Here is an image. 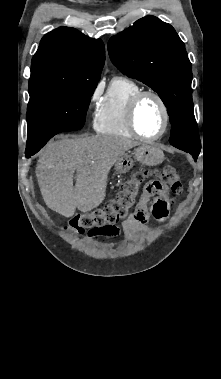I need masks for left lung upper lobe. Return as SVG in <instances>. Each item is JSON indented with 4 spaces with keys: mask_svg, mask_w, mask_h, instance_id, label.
Here are the masks:
<instances>
[{
    "mask_svg": "<svg viewBox=\"0 0 221 379\" xmlns=\"http://www.w3.org/2000/svg\"><path fill=\"white\" fill-rule=\"evenodd\" d=\"M113 64L156 91L172 124L170 143L197 156L201 144L192 101V65L174 28L154 16L139 19L108 42Z\"/></svg>",
    "mask_w": 221,
    "mask_h": 379,
    "instance_id": "1",
    "label": "left lung upper lobe"
}]
</instances>
